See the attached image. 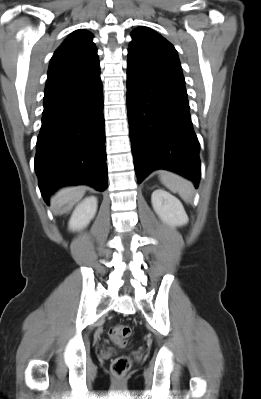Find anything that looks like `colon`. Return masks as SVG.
Segmentation results:
<instances>
[{
    "instance_id": "colon-1",
    "label": "colon",
    "mask_w": 261,
    "mask_h": 399,
    "mask_svg": "<svg viewBox=\"0 0 261 399\" xmlns=\"http://www.w3.org/2000/svg\"><path fill=\"white\" fill-rule=\"evenodd\" d=\"M109 335L114 344L124 347L127 345V339L131 335V328L127 325H115L111 327ZM131 359L127 356H120L113 360L111 370L113 374L122 376L131 368Z\"/></svg>"
}]
</instances>
